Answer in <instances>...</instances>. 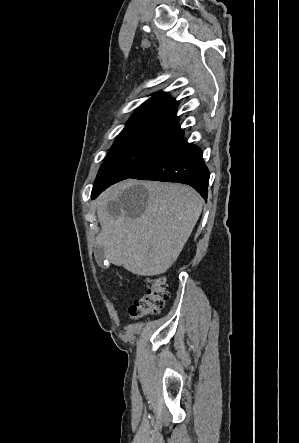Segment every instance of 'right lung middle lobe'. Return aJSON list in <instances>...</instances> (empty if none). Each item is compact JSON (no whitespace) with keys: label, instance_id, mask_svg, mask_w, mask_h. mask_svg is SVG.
<instances>
[{"label":"right lung middle lobe","instance_id":"1","mask_svg":"<svg viewBox=\"0 0 299 443\" xmlns=\"http://www.w3.org/2000/svg\"><path fill=\"white\" fill-rule=\"evenodd\" d=\"M182 135L177 123L147 121L123 130L100 167L92 194L130 178L165 153Z\"/></svg>","mask_w":299,"mask_h":443}]
</instances>
